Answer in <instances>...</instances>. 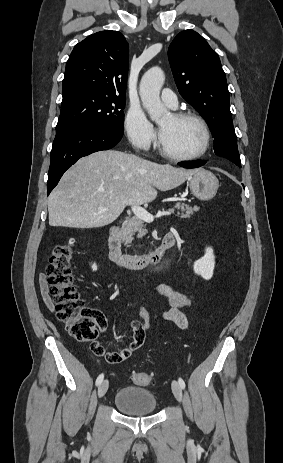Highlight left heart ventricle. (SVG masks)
I'll list each match as a JSON object with an SVG mask.
<instances>
[{"instance_id": "b2bd125f", "label": "left heart ventricle", "mask_w": 283, "mask_h": 463, "mask_svg": "<svg viewBox=\"0 0 283 463\" xmlns=\"http://www.w3.org/2000/svg\"><path fill=\"white\" fill-rule=\"evenodd\" d=\"M160 143L170 153L192 155L197 153L204 140L201 126L192 119L175 120L171 115L159 122Z\"/></svg>"}]
</instances>
